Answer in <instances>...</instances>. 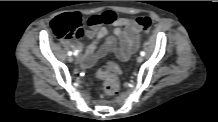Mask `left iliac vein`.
I'll return each instance as SVG.
<instances>
[{
	"label": "left iliac vein",
	"instance_id": "1",
	"mask_svg": "<svg viewBox=\"0 0 218 122\" xmlns=\"http://www.w3.org/2000/svg\"><path fill=\"white\" fill-rule=\"evenodd\" d=\"M142 61H143V57H142V56H138V57H137V62H138V63H141Z\"/></svg>",
	"mask_w": 218,
	"mask_h": 122
}]
</instances>
